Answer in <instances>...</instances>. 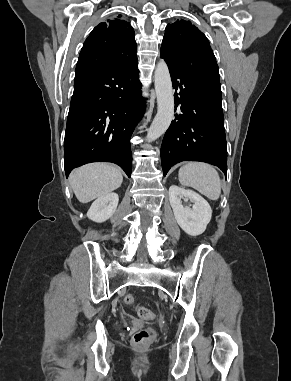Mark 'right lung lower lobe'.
Listing matches in <instances>:
<instances>
[{
  "label": "right lung lower lobe",
  "instance_id": "1",
  "mask_svg": "<svg viewBox=\"0 0 291 381\" xmlns=\"http://www.w3.org/2000/svg\"><path fill=\"white\" fill-rule=\"evenodd\" d=\"M137 56L116 66H78L64 139V169L112 162L128 177L130 138L143 115Z\"/></svg>",
  "mask_w": 291,
  "mask_h": 381
}]
</instances>
